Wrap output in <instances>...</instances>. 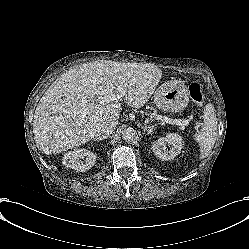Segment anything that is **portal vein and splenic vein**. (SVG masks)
I'll return each mask as SVG.
<instances>
[{
	"label": "portal vein and splenic vein",
	"instance_id": "portal-vein-and-splenic-vein-1",
	"mask_svg": "<svg viewBox=\"0 0 249 249\" xmlns=\"http://www.w3.org/2000/svg\"><path fill=\"white\" fill-rule=\"evenodd\" d=\"M123 95L121 94L120 96H118L117 98L119 99L120 97H122ZM111 100H114V99H111ZM171 124H176V125H180V126H186L189 122L188 120H181V119H174L172 121H170Z\"/></svg>",
	"mask_w": 249,
	"mask_h": 249
}]
</instances>
